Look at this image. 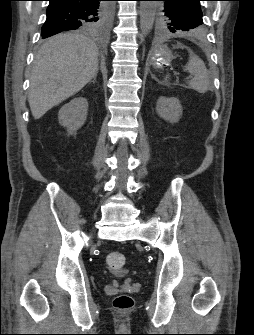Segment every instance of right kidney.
<instances>
[{"label": "right kidney", "instance_id": "ca27d5eb", "mask_svg": "<svg viewBox=\"0 0 254 335\" xmlns=\"http://www.w3.org/2000/svg\"><path fill=\"white\" fill-rule=\"evenodd\" d=\"M88 102L83 97H76L63 105L58 113L59 123L67 128L69 134L80 129L87 117Z\"/></svg>", "mask_w": 254, "mask_h": 335}]
</instances>
